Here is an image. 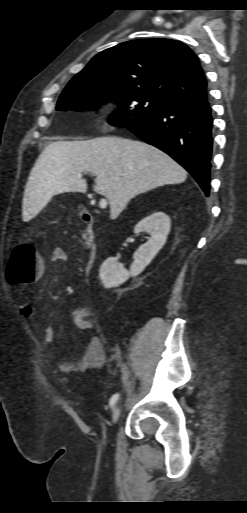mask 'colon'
<instances>
[{"label": "colon", "mask_w": 247, "mask_h": 513, "mask_svg": "<svg viewBox=\"0 0 247 513\" xmlns=\"http://www.w3.org/2000/svg\"><path fill=\"white\" fill-rule=\"evenodd\" d=\"M42 270L35 247L29 243H20L11 253L6 269V279L11 285L31 284L35 282Z\"/></svg>", "instance_id": "obj_1"}]
</instances>
